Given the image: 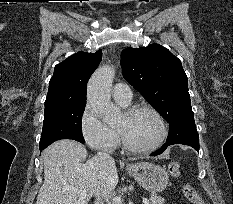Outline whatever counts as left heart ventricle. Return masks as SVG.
<instances>
[{
	"label": "left heart ventricle",
	"instance_id": "left-heart-ventricle-1",
	"mask_svg": "<svg viewBox=\"0 0 233 204\" xmlns=\"http://www.w3.org/2000/svg\"><path fill=\"white\" fill-rule=\"evenodd\" d=\"M116 126L123 128L130 142L138 147L151 146L160 136L158 121L147 111H140L131 117L123 113Z\"/></svg>",
	"mask_w": 233,
	"mask_h": 204
}]
</instances>
